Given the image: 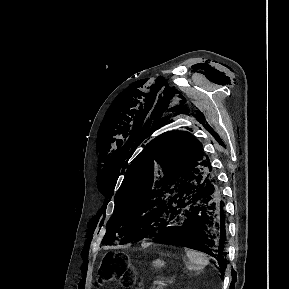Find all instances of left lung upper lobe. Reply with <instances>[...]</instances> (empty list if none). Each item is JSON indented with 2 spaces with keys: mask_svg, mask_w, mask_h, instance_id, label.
<instances>
[{
  "mask_svg": "<svg viewBox=\"0 0 289 289\" xmlns=\"http://www.w3.org/2000/svg\"><path fill=\"white\" fill-rule=\"evenodd\" d=\"M211 170L202 143L187 131L164 133L147 144L129 166L115 195L103 244L147 237L168 216L171 199Z\"/></svg>",
  "mask_w": 289,
  "mask_h": 289,
  "instance_id": "obj_1",
  "label": "left lung upper lobe"
}]
</instances>
